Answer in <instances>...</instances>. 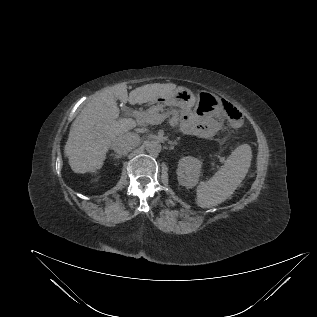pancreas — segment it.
I'll return each instance as SVG.
<instances>
[{
	"mask_svg": "<svg viewBox=\"0 0 317 317\" xmlns=\"http://www.w3.org/2000/svg\"><path fill=\"white\" fill-rule=\"evenodd\" d=\"M160 111H164L163 105L152 106L149 109H147L146 111H144L143 113L145 114L146 117H154V116H157ZM143 122L145 124H149L147 119H144Z\"/></svg>",
	"mask_w": 317,
	"mask_h": 317,
	"instance_id": "obj_1",
	"label": "pancreas"
}]
</instances>
